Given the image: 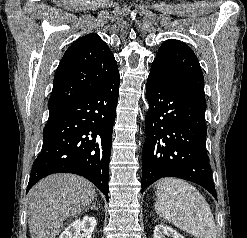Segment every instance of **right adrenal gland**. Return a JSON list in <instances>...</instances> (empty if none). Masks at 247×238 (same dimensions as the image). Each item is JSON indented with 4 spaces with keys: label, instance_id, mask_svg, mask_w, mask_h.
<instances>
[{
    "label": "right adrenal gland",
    "instance_id": "obj_1",
    "mask_svg": "<svg viewBox=\"0 0 247 238\" xmlns=\"http://www.w3.org/2000/svg\"><path fill=\"white\" fill-rule=\"evenodd\" d=\"M96 203H97V198H95V201L93 202L92 206L88 207L86 209V211H88L89 209H96V210H98V207H96Z\"/></svg>",
    "mask_w": 247,
    "mask_h": 238
}]
</instances>
